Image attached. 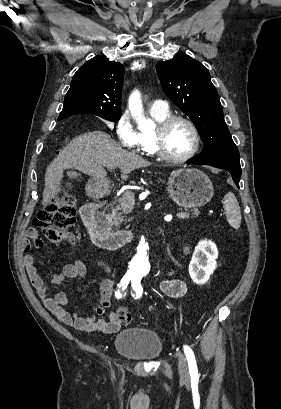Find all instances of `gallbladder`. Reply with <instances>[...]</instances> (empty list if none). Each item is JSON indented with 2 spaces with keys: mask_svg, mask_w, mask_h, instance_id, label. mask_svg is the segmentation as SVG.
Returning a JSON list of instances; mask_svg holds the SVG:
<instances>
[{
  "mask_svg": "<svg viewBox=\"0 0 281 409\" xmlns=\"http://www.w3.org/2000/svg\"><path fill=\"white\" fill-rule=\"evenodd\" d=\"M68 176H78L77 172H68Z\"/></svg>",
  "mask_w": 281,
  "mask_h": 409,
  "instance_id": "bac80fb5",
  "label": "gallbladder"
}]
</instances>
